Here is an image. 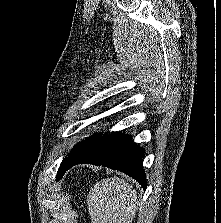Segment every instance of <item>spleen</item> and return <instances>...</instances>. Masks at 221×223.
Masks as SVG:
<instances>
[{
    "instance_id": "spleen-1",
    "label": "spleen",
    "mask_w": 221,
    "mask_h": 223,
    "mask_svg": "<svg viewBox=\"0 0 221 223\" xmlns=\"http://www.w3.org/2000/svg\"><path fill=\"white\" fill-rule=\"evenodd\" d=\"M136 204L133 186L116 177L97 182L87 197L92 223H132Z\"/></svg>"
}]
</instances>
